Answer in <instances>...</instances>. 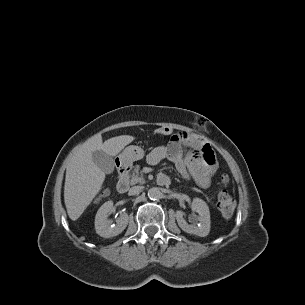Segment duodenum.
I'll list each match as a JSON object with an SVG mask.
<instances>
[{
	"instance_id": "410a0bca",
	"label": "duodenum",
	"mask_w": 305,
	"mask_h": 305,
	"mask_svg": "<svg viewBox=\"0 0 305 305\" xmlns=\"http://www.w3.org/2000/svg\"><path fill=\"white\" fill-rule=\"evenodd\" d=\"M129 168L123 163L118 164V176L119 180L117 182V190L120 193H125L129 189ZM157 182L161 186H167L170 184V179L168 176L161 174L159 175Z\"/></svg>"
}]
</instances>
